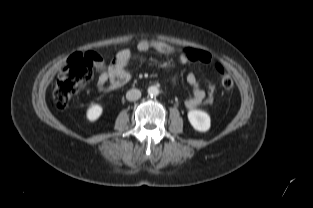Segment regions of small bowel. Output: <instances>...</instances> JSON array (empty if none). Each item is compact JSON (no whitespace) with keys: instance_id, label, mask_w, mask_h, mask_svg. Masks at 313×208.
<instances>
[{"instance_id":"c3829d8e","label":"small bowel","mask_w":313,"mask_h":208,"mask_svg":"<svg viewBox=\"0 0 313 208\" xmlns=\"http://www.w3.org/2000/svg\"><path fill=\"white\" fill-rule=\"evenodd\" d=\"M154 50L163 55H170L176 52V49L165 42L156 40H142L137 44V50L139 52H147L148 50ZM133 58L130 49H123L116 54L114 59L110 63H105L99 56L94 62V68L98 74L97 89L100 92H112L119 89L130 79V72L128 66ZM178 61L180 64H186L189 62L186 55V51L180 53ZM187 82L192 86L193 93L185 101V105L188 108H194L203 103L205 100V92L200 87L197 77L193 72H189L186 76ZM174 84L177 83V77L172 78Z\"/></svg>"}]
</instances>
